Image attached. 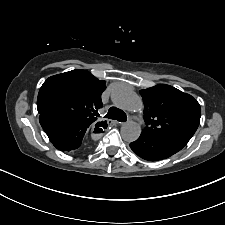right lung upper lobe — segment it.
Masks as SVG:
<instances>
[{
	"instance_id": "cb5924a9",
	"label": "right lung upper lobe",
	"mask_w": 225,
	"mask_h": 225,
	"mask_svg": "<svg viewBox=\"0 0 225 225\" xmlns=\"http://www.w3.org/2000/svg\"><path fill=\"white\" fill-rule=\"evenodd\" d=\"M105 83L82 69L49 77L38 93V112L80 119L96 128L104 127L103 122L96 123L95 116L102 108L101 94L106 88Z\"/></svg>"
}]
</instances>
